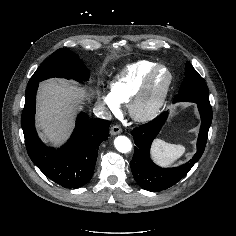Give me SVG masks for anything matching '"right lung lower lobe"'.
<instances>
[{
    "label": "right lung lower lobe",
    "mask_w": 236,
    "mask_h": 236,
    "mask_svg": "<svg viewBox=\"0 0 236 236\" xmlns=\"http://www.w3.org/2000/svg\"><path fill=\"white\" fill-rule=\"evenodd\" d=\"M37 88L38 83L27 86L21 116L28 155L55 183L65 188L81 187L91 179L98 147L108 138L110 122L99 118L89 119L85 113H80L69 141L61 148H49L39 139L34 125Z\"/></svg>",
    "instance_id": "98d812e1"
}]
</instances>
